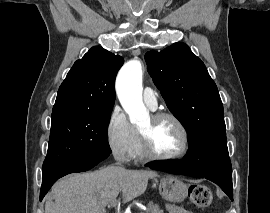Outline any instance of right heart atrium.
I'll list each match as a JSON object with an SVG mask.
<instances>
[{
    "label": "right heart atrium",
    "mask_w": 270,
    "mask_h": 213,
    "mask_svg": "<svg viewBox=\"0 0 270 213\" xmlns=\"http://www.w3.org/2000/svg\"><path fill=\"white\" fill-rule=\"evenodd\" d=\"M106 140L112 155L120 161L132 158L136 130L128 121L123 109L113 107L106 127Z\"/></svg>",
    "instance_id": "1"
}]
</instances>
